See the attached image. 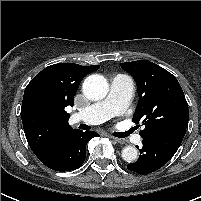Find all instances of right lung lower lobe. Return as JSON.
<instances>
[{
	"mask_svg": "<svg viewBox=\"0 0 201 201\" xmlns=\"http://www.w3.org/2000/svg\"><path fill=\"white\" fill-rule=\"evenodd\" d=\"M97 136L94 132L75 129L50 148L35 153L47 167L55 171H69L79 168L86 157L87 142Z\"/></svg>",
	"mask_w": 201,
	"mask_h": 201,
	"instance_id": "right-lung-lower-lobe-1",
	"label": "right lung lower lobe"
}]
</instances>
